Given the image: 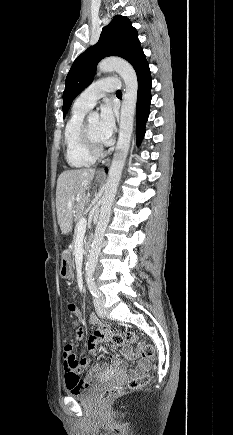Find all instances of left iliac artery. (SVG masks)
Wrapping results in <instances>:
<instances>
[{
    "label": "left iliac artery",
    "mask_w": 233,
    "mask_h": 435,
    "mask_svg": "<svg viewBox=\"0 0 233 435\" xmlns=\"http://www.w3.org/2000/svg\"><path fill=\"white\" fill-rule=\"evenodd\" d=\"M87 285L88 288L90 290V293L92 294V296L98 298L100 297V292L98 291L96 284H95V278L94 277H89L87 278Z\"/></svg>",
    "instance_id": "obj_1"
}]
</instances>
